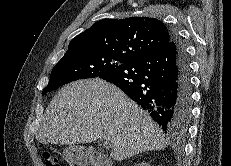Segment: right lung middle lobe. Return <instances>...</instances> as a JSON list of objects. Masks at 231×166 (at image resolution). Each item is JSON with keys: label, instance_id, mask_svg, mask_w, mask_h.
<instances>
[{"label": "right lung middle lobe", "instance_id": "right-lung-middle-lobe-1", "mask_svg": "<svg viewBox=\"0 0 231 166\" xmlns=\"http://www.w3.org/2000/svg\"><path fill=\"white\" fill-rule=\"evenodd\" d=\"M127 62L129 61L126 59L92 50L65 54L53 68L50 81L42 95L75 80L96 78Z\"/></svg>", "mask_w": 231, "mask_h": 166}]
</instances>
